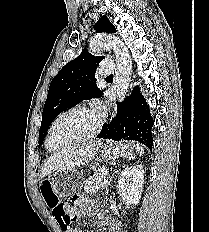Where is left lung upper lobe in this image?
Returning a JSON list of instances; mask_svg holds the SVG:
<instances>
[{"instance_id": "obj_1", "label": "left lung upper lobe", "mask_w": 209, "mask_h": 232, "mask_svg": "<svg viewBox=\"0 0 209 232\" xmlns=\"http://www.w3.org/2000/svg\"><path fill=\"white\" fill-rule=\"evenodd\" d=\"M94 28L98 33L116 32L105 15L98 20ZM103 58L104 56L95 57L87 49H83L77 58L67 63L52 79L42 113L39 145L43 143L51 123L62 111L85 99L102 96V91L96 86L95 72L96 66Z\"/></svg>"}]
</instances>
